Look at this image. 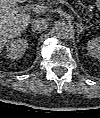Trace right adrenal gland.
Returning a JSON list of instances; mask_svg holds the SVG:
<instances>
[{"label": "right adrenal gland", "instance_id": "obj_1", "mask_svg": "<svg viewBox=\"0 0 100 118\" xmlns=\"http://www.w3.org/2000/svg\"><path fill=\"white\" fill-rule=\"evenodd\" d=\"M32 31H33L35 34H40V32H37V31L34 30L33 28H32Z\"/></svg>", "mask_w": 100, "mask_h": 118}]
</instances>
